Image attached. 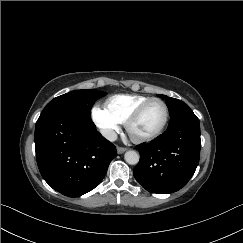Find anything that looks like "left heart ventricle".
<instances>
[{
  "mask_svg": "<svg viewBox=\"0 0 243 243\" xmlns=\"http://www.w3.org/2000/svg\"><path fill=\"white\" fill-rule=\"evenodd\" d=\"M165 109L162 103L155 102L149 105L140 119L131 127V133L135 137H146L153 134L162 125Z\"/></svg>",
  "mask_w": 243,
  "mask_h": 243,
  "instance_id": "b2bd125f",
  "label": "left heart ventricle"
}]
</instances>
